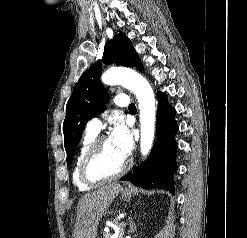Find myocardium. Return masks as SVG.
<instances>
[{"instance_id":"f54148a6","label":"myocardium","mask_w":247,"mask_h":238,"mask_svg":"<svg viewBox=\"0 0 247 238\" xmlns=\"http://www.w3.org/2000/svg\"><path fill=\"white\" fill-rule=\"evenodd\" d=\"M108 139L109 138L106 135L97 137L93 141V143L90 145L85 155L83 156L80 166H79V175H80L81 180L85 184L97 185V184H101V183H105V182L118 179L121 176H123L130 168L131 160L129 158H126L124 165L116 173L109 174V175H103V174H96L93 171V165L98 158L102 145Z\"/></svg>"}]
</instances>
